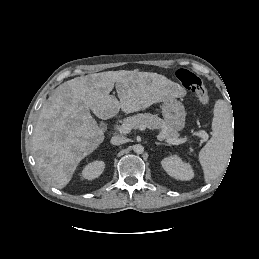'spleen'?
<instances>
[{"mask_svg":"<svg viewBox=\"0 0 259 259\" xmlns=\"http://www.w3.org/2000/svg\"><path fill=\"white\" fill-rule=\"evenodd\" d=\"M231 111L227 102L218 100L214 106L212 137L199 152L206 183L218 178L225 170L233 145Z\"/></svg>","mask_w":259,"mask_h":259,"instance_id":"1","label":"spleen"}]
</instances>
